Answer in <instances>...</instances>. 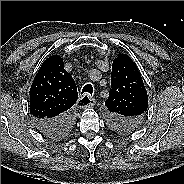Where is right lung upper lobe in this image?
<instances>
[{
    "label": "right lung upper lobe",
    "instance_id": "cb5924a9",
    "mask_svg": "<svg viewBox=\"0 0 184 184\" xmlns=\"http://www.w3.org/2000/svg\"><path fill=\"white\" fill-rule=\"evenodd\" d=\"M78 98L77 87L65 71L58 55L47 58L41 65L30 88V113L34 119L48 121L70 112Z\"/></svg>",
    "mask_w": 184,
    "mask_h": 184
}]
</instances>
